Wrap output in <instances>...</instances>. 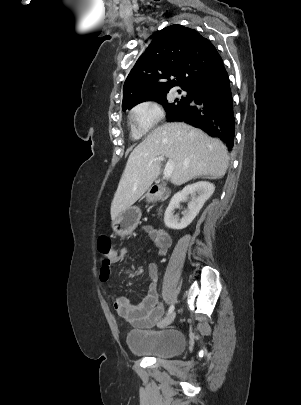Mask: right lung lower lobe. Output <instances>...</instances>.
I'll return each instance as SVG.
<instances>
[{
    "mask_svg": "<svg viewBox=\"0 0 301 405\" xmlns=\"http://www.w3.org/2000/svg\"><path fill=\"white\" fill-rule=\"evenodd\" d=\"M192 99L195 104H190ZM191 101L168 115V121H185L218 137L231 149L235 138V117L226 70L215 81L193 90Z\"/></svg>",
    "mask_w": 301,
    "mask_h": 405,
    "instance_id": "obj_1",
    "label": "right lung lower lobe"
}]
</instances>
